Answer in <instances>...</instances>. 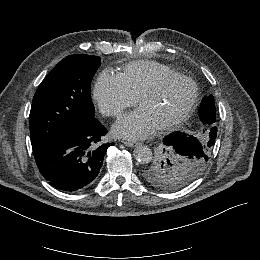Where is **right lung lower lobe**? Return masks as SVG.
Returning a JSON list of instances; mask_svg holds the SVG:
<instances>
[{"label": "right lung lower lobe", "instance_id": "1", "mask_svg": "<svg viewBox=\"0 0 260 260\" xmlns=\"http://www.w3.org/2000/svg\"><path fill=\"white\" fill-rule=\"evenodd\" d=\"M106 128L94 118L73 135L59 138L34 151L40 173L65 192L86 189L95 182L109 146L101 143Z\"/></svg>", "mask_w": 260, "mask_h": 260}]
</instances>
